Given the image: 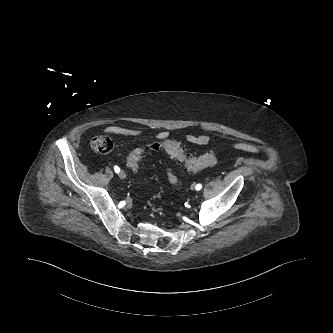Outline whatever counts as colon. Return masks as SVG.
<instances>
[{"instance_id": "obj_1", "label": "colon", "mask_w": 333, "mask_h": 333, "mask_svg": "<svg viewBox=\"0 0 333 333\" xmlns=\"http://www.w3.org/2000/svg\"><path fill=\"white\" fill-rule=\"evenodd\" d=\"M91 145L99 153H108L113 148L112 140L102 135L94 137L91 140ZM147 150H165L169 156L177 159L189 171H198L216 163V156L212 152L201 156H192L186 152L180 142L165 139L132 149L126 157V166L133 172L138 171ZM167 177L170 183L177 182V178L171 172H168Z\"/></svg>"}]
</instances>
